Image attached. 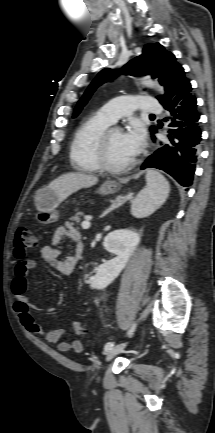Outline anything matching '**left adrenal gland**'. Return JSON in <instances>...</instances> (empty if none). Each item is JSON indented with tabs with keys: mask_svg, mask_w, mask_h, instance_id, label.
Masks as SVG:
<instances>
[{
	"mask_svg": "<svg viewBox=\"0 0 215 433\" xmlns=\"http://www.w3.org/2000/svg\"><path fill=\"white\" fill-rule=\"evenodd\" d=\"M132 199H133V196L131 193H129L125 196H123V195L117 196L116 199L112 202V205L106 211H104V213L100 217L102 218V217L106 216L111 211L115 210L116 208H119L125 202H127L128 200H132Z\"/></svg>",
	"mask_w": 215,
	"mask_h": 433,
	"instance_id": "1",
	"label": "left adrenal gland"
}]
</instances>
